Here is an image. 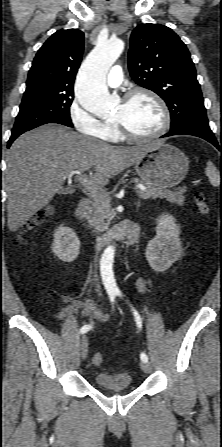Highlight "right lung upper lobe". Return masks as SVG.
I'll use <instances>...</instances> for the list:
<instances>
[{
	"label": "right lung upper lobe",
	"instance_id": "obj_1",
	"mask_svg": "<svg viewBox=\"0 0 222 447\" xmlns=\"http://www.w3.org/2000/svg\"><path fill=\"white\" fill-rule=\"evenodd\" d=\"M84 47V33L58 30L38 50L27 78V88L50 86L73 89Z\"/></svg>",
	"mask_w": 222,
	"mask_h": 447
}]
</instances>
